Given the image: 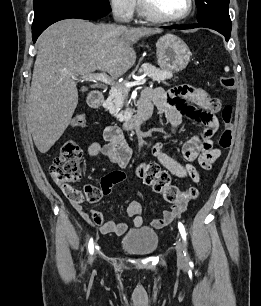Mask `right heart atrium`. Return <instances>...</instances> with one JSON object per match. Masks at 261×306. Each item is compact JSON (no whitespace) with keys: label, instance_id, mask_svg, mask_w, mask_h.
Wrapping results in <instances>:
<instances>
[{"label":"right heart atrium","instance_id":"obj_1","mask_svg":"<svg viewBox=\"0 0 261 306\" xmlns=\"http://www.w3.org/2000/svg\"><path fill=\"white\" fill-rule=\"evenodd\" d=\"M109 5L117 18L128 21L134 14L136 0H109Z\"/></svg>","mask_w":261,"mask_h":306}]
</instances>
